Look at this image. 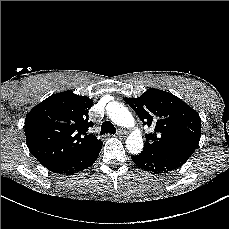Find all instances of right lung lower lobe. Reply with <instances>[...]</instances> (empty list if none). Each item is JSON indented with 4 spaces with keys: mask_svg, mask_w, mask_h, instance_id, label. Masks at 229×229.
Instances as JSON below:
<instances>
[{
    "mask_svg": "<svg viewBox=\"0 0 229 229\" xmlns=\"http://www.w3.org/2000/svg\"><path fill=\"white\" fill-rule=\"evenodd\" d=\"M102 142L90 149L87 152L81 153L64 162H60L54 166H48L47 169L59 174H74L90 167L98 158L99 152L102 148Z\"/></svg>",
    "mask_w": 229,
    "mask_h": 229,
    "instance_id": "1",
    "label": "right lung lower lobe"
}]
</instances>
